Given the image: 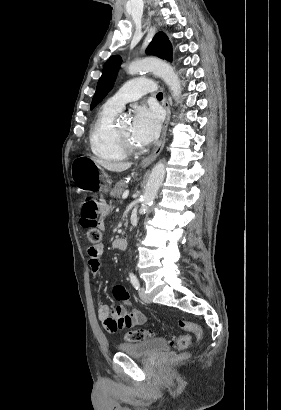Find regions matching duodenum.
<instances>
[{
    "mask_svg": "<svg viewBox=\"0 0 281 410\" xmlns=\"http://www.w3.org/2000/svg\"><path fill=\"white\" fill-rule=\"evenodd\" d=\"M127 240L125 236H121L114 241V247L116 249H124L126 247Z\"/></svg>",
    "mask_w": 281,
    "mask_h": 410,
    "instance_id": "410a0bca",
    "label": "duodenum"
}]
</instances>
